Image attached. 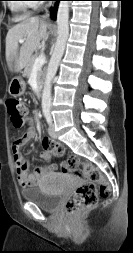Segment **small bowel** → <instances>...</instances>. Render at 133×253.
<instances>
[{"instance_id": "obj_1", "label": "small bowel", "mask_w": 133, "mask_h": 253, "mask_svg": "<svg viewBox=\"0 0 133 253\" xmlns=\"http://www.w3.org/2000/svg\"><path fill=\"white\" fill-rule=\"evenodd\" d=\"M37 134L30 127L20 137L12 142L14 169L18 183L22 187H31L41 182L42 176L50 171L56 170V166L50 163L51 153L46 150L42 153V158L47 162L46 166L37 167L34 172L29 173V161L22 156L20 149L26 143L34 140Z\"/></svg>"}]
</instances>
